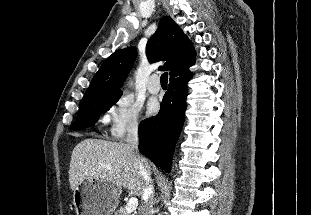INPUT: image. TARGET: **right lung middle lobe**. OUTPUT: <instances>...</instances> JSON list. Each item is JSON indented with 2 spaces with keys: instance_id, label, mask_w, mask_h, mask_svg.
<instances>
[{
  "instance_id": "dd1d6c3e",
  "label": "right lung middle lobe",
  "mask_w": 311,
  "mask_h": 215,
  "mask_svg": "<svg viewBox=\"0 0 311 215\" xmlns=\"http://www.w3.org/2000/svg\"><path fill=\"white\" fill-rule=\"evenodd\" d=\"M120 96H103L80 103L79 112L72 126V130L93 126L99 116L108 111L119 100Z\"/></svg>"
}]
</instances>
